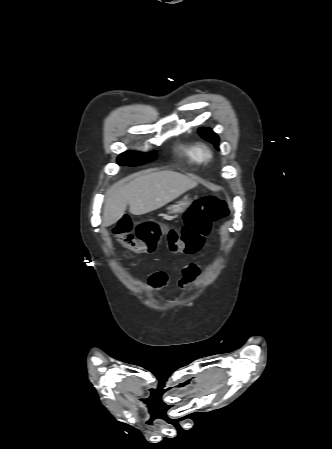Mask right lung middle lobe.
Returning a JSON list of instances; mask_svg holds the SVG:
<instances>
[{
    "instance_id": "obj_1",
    "label": "right lung middle lobe",
    "mask_w": 332,
    "mask_h": 449,
    "mask_svg": "<svg viewBox=\"0 0 332 449\" xmlns=\"http://www.w3.org/2000/svg\"><path fill=\"white\" fill-rule=\"evenodd\" d=\"M155 158L154 154H141V153H131L125 152L118 157L119 165H129V166H137L149 161H152Z\"/></svg>"
}]
</instances>
